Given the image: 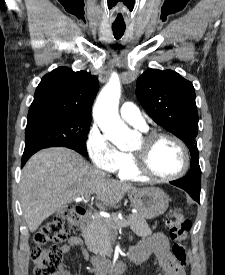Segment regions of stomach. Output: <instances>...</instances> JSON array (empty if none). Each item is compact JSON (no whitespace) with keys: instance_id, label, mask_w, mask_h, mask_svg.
<instances>
[{"instance_id":"0dacf381","label":"stomach","mask_w":225,"mask_h":275,"mask_svg":"<svg viewBox=\"0 0 225 275\" xmlns=\"http://www.w3.org/2000/svg\"><path fill=\"white\" fill-rule=\"evenodd\" d=\"M129 199L138 214L146 219L164 214L169 206L168 196L158 187L132 190L129 192Z\"/></svg>"}]
</instances>
